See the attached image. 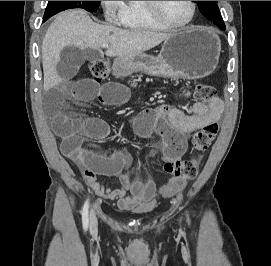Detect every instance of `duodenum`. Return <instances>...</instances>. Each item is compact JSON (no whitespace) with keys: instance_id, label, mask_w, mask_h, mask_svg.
Segmentation results:
<instances>
[{"instance_id":"duodenum-1","label":"duodenum","mask_w":271,"mask_h":266,"mask_svg":"<svg viewBox=\"0 0 271 266\" xmlns=\"http://www.w3.org/2000/svg\"><path fill=\"white\" fill-rule=\"evenodd\" d=\"M125 62L123 60L116 61L114 65V75L120 76L123 73V68L125 66Z\"/></svg>"}]
</instances>
